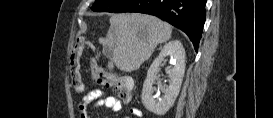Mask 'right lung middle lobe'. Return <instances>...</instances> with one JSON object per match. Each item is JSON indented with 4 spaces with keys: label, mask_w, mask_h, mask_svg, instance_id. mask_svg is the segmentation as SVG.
Returning <instances> with one entry per match:
<instances>
[{
    "label": "right lung middle lobe",
    "mask_w": 273,
    "mask_h": 118,
    "mask_svg": "<svg viewBox=\"0 0 273 118\" xmlns=\"http://www.w3.org/2000/svg\"><path fill=\"white\" fill-rule=\"evenodd\" d=\"M128 0H96L91 10L96 12H116Z\"/></svg>",
    "instance_id": "obj_1"
}]
</instances>
